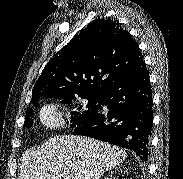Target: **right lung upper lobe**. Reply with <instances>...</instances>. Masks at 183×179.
I'll list each match as a JSON object with an SVG mask.
<instances>
[{
	"instance_id": "1",
	"label": "right lung upper lobe",
	"mask_w": 183,
	"mask_h": 179,
	"mask_svg": "<svg viewBox=\"0 0 183 179\" xmlns=\"http://www.w3.org/2000/svg\"><path fill=\"white\" fill-rule=\"evenodd\" d=\"M144 64L137 42L110 19H96L45 66L31 103L41 97L100 94Z\"/></svg>"
}]
</instances>
